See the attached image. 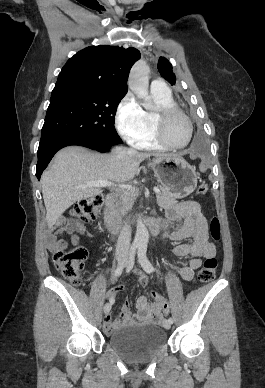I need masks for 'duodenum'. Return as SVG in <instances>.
Here are the masks:
<instances>
[{
  "instance_id": "1",
  "label": "duodenum",
  "mask_w": 265,
  "mask_h": 388,
  "mask_svg": "<svg viewBox=\"0 0 265 388\" xmlns=\"http://www.w3.org/2000/svg\"><path fill=\"white\" fill-rule=\"evenodd\" d=\"M116 195L114 193H109L105 196L104 199V219L108 229L112 233H118L122 226L123 222L116 210ZM148 231L152 235H157L163 229V221L156 217H151L145 221Z\"/></svg>"
}]
</instances>
